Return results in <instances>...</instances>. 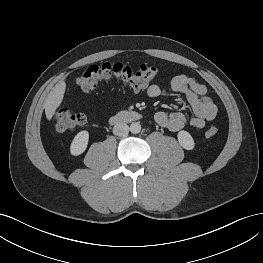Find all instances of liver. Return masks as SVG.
Returning <instances> with one entry per match:
<instances>
[{
    "label": "liver",
    "instance_id": "1",
    "mask_svg": "<svg viewBox=\"0 0 263 263\" xmlns=\"http://www.w3.org/2000/svg\"><path fill=\"white\" fill-rule=\"evenodd\" d=\"M65 90H66V83L65 81H61L57 83L48 94L44 102V108H45V114L47 120L50 121L52 119L53 115L55 114V111L61 105L64 98Z\"/></svg>",
    "mask_w": 263,
    "mask_h": 263
}]
</instances>
